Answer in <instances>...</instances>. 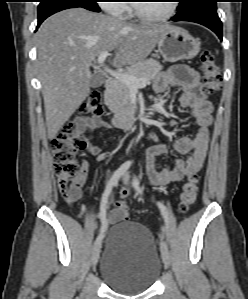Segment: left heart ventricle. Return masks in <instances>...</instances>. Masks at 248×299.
I'll return each instance as SVG.
<instances>
[{
  "instance_id": "1",
  "label": "left heart ventricle",
  "mask_w": 248,
  "mask_h": 299,
  "mask_svg": "<svg viewBox=\"0 0 248 299\" xmlns=\"http://www.w3.org/2000/svg\"><path fill=\"white\" fill-rule=\"evenodd\" d=\"M138 9L147 16H161L169 8V1H150L137 3Z\"/></svg>"
}]
</instances>
